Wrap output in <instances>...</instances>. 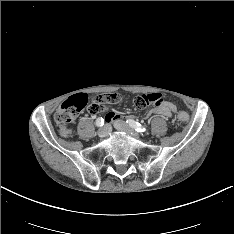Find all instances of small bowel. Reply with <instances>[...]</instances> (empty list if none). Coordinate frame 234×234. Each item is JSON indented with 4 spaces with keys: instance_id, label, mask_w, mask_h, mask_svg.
Instances as JSON below:
<instances>
[{
    "instance_id": "c3829d8e",
    "label": "small bowel",
    "mask_w": 234,
    "mask_h": 234,
    "mask_svg": "<svg viewBox=\"0 0 234 234\" xmlns=\"http://www.w3.org/2000/svg\"><path fill=\"white\" fill-rule=\"evenodd\" d=\"M122 97L117 93L96 95L87 105V110L92 115L100 114L104 119L110 121L119 118V114L111 111L109 104L121 102ZM133 105L138 110L148 111V116H163L166 118L172 117L177 111L176 106L167 101V97L162 92H154L152 94H141L134 98Z\"/></svg>"
}]
</instances>
